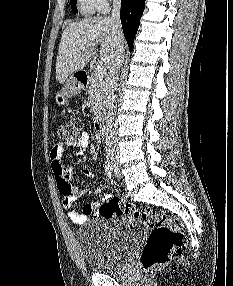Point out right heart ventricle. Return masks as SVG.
Masks as SVG:
<instances>
[{
    "mask_svg": "<svg viewBox=\"0 0 233 286\" xmlns=\"http://www.w3.org/2000/svg\"><path fill=\"white\" fill-rule=\"evenodd\" d=\"M80 11L85 15H91L98 9L94 0H78Z\"/></svg>",
    "mask_w": 233,
    "mask_h": 286,
    "instance_id": "obj_1",
    "label": "right heart ventricle"
}]
</instances>
